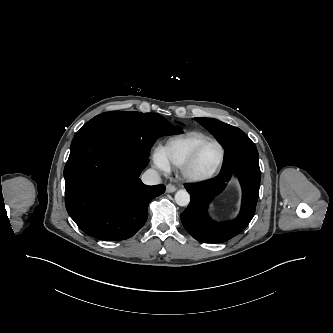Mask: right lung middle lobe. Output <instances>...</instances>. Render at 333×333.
Returning a JSON list of instances; mask_svg holds the SVG:
<instances>
[{
    "mask_svg": "<svg viewBox=\"0 0 333 333\" xmlns=\"http://www.w3.org/2000/svg\"><path fill=\"white\" fill-rule=\"evenodd\" d=\"M181 131L156 113L110 111L99 114L87 122L77 132L71 145L87 137H100L148 158L157 138Z\"/></svg>",
    "mask_w": 333,
    "mask_h": 333,
    "instance_id": "dd1d6c3e",
    "label": "right lung middle lobe"
}]
</instances>
